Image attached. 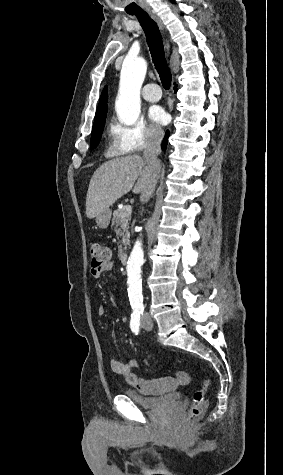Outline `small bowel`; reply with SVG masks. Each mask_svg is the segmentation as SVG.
I'll return each instance as SVG.
<instances>
[{
  "instance_id": "1",
  "label": "small bowel",
  "mask_w": 283,
  "mask_h": 475,
  "mask_svg": "<svg viewBox=\"0 0 283 475\" xmlns=\"http://www.w3.org/2000/svg\"><path fill=\"white\" fill-rule=\"evenodd\" d=\"M113 269V264L111 262H107L103 265L100 266H93L90 268V275L94 279H99L104 273L109 272ZM112 303L114 306H117V300L112 297ZM106 308L104 306H99L97 310V314L100 317L106 316ZM139 365V362L136 358H128L125 361H119L116 359H112L110 361V367L112 371L115 374H118L126 380L128 384L131 386L141 390V391H147L149 384L141 379L135 372L134 369L137 368ZM180 378L182 380H187L189 378V373L187 371H182L180 373ZM171 379L168 376L161 377V376H156L154 378V383L156 385H161L162 383L165 385L170 384ZM179 383L185 384L182 382L180 379L178 380Z\"/></svg>"
}]
</instances>
